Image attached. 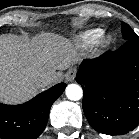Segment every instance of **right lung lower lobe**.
Instances as JSON below:
<instances>
[{
  "instance_id": "obj_1",
  "label": "right lung lower lobe",
  "mask_w": 139,
  "mask_h": 139,
  "mask_svg": "<svg viewBox=\"0 0 139 139\" xmlns=\"http://www.w3.org/2000/svg\"><path fill=\"white\" fill-rule=\"evenodd\" d=\"M65 83H59L20 105L0 103V138L36 139L46 127L49 111L63 93Z\"/></svg>"
}]
</instances>
